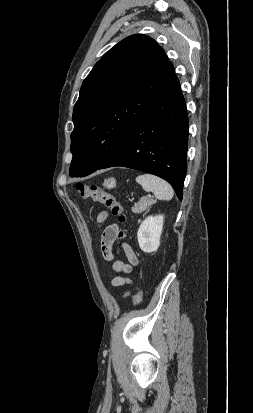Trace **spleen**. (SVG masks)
I'll return each mask as SVG.
<instances>
[{"instance_id":"obj_1","label":"spleen","mask_w":253,"mask_h":413,"mask_svg":"<svg viewBox=\"0 0 253 413\" xmlns=\"http://www.w3.org/2000/svg\"><path fill=\"white\" fill-rule=\"evenodd\" d=\"M136 182L147 192H153L159 200L169 201L173 198V189L165 180L151 175L143 174L136 177Z\"/></svg>"}]
</instances>
